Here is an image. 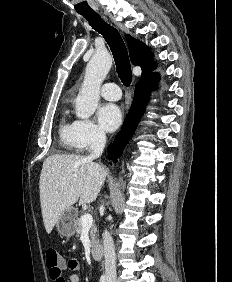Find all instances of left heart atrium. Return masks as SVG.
Masks as SVG:
<instances>
[{
    "label": "left heart atrium",
    "mask_w": 232,
    "mask_h": 282,
    "mask_svg": "<svg viewBox=\"0 0 232 282\" xmlns=\"http://www.w3.org/2000/svg\"><path fill=\"white\" fill-rule=\"evenodd\" d=\"M100 126L109 132L116 130L122 121V114L119 107L112 103L102 105L97 113Z\"/></svg>",
    "instance_id": "obj_1"
}]
</instances>
